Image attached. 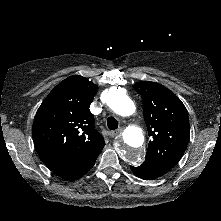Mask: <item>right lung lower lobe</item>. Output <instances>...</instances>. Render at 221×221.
<instances>
[{
	"label": "right lung lower lobe",
	"instance_id": "obj_1",
	"mask_svg": "<svg viewBox=\"0 0 221 221\" xmlns=\"http://www.w3.org/2000/svg\"><path fill=\"white\" fill-rule=\"evenodd\" d=\"M102 149L103 148L90 154L88 157H86L85 159L81 160L80 162L74 165L67 166V167L55 170L53 172L66 180H69V181L76 180L80 178L81 176H83L92 168V166L94 165Z\"/></svg>",
	"mask_w": 221,
	"mask_h": 221
}]
</instances>
